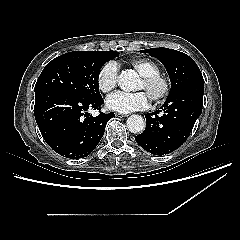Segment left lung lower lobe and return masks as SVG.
I'll list each match as a JSON object with an SVG mask.
<instances>
[{"label":"left lung lower lobe","instance_id":"obj_1","mask_svg":"<svg viewBox=\"0 0 240 240\" xmlns=\"http://www.w3.org/2000/svg\"><path fill=\"white\" fill-rule=\"evenodd\" d=\"M204 83L188 85L168 96L166 102L146 117V129L136 142L154 155H164L179 148L188 138L202 113ZM162 112V116L158 114Z\"/></svg>","mask_w":240,"mask_h":240}]
</instances>
